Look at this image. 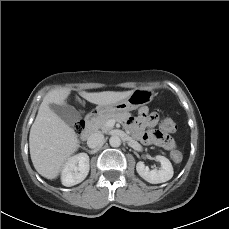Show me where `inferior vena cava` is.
<instances>
[{"label":"inferior vena cava","mask_w":229,"mask_h":229,"mask_svg":"<svg viewBox=\"0 0 229 229\" xmlns=\"http://www.w3.org/2000/svg\"><path fill=\"white\" fill-rule=\"evenodd\" d=\"M104 142V135L102 133H93L89 136L87 144L90 148L101 146Z\"/></svg>","instance_id":"602c4592"}]
</instances>
